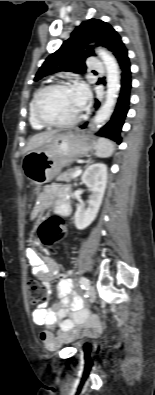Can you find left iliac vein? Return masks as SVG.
I'll return each instance as SVG.
<instances>
[{
	"mask_svg": "<svg viewBox=\"0 0 155 395\" xmlns=\"http://www.w3.org/2000/svg\"><path fill=\"white\" fill-rule=\"evenodd\" d=\"M88 290H89V291H88V293H89V301H90L91 303H93V302L95 301V299H96V290H95V287H94L93 285H91V286L89 287Z\"/></svg>",
	"mask_w": 155,
	"mask_h": 395,
	"instance_id": "obj_1",
	"label": "left iliac vein"
}]
</instances>
